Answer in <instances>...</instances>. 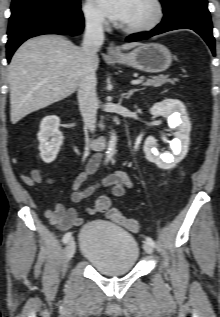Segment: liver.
<instances>
[{
  "mask_svg": "<svg viewBox=\"0 0 220 317\" xmlns=\"http://www.w3.org/2000/svg\"><path fill=\"white\" fill-rule=\"evenodd\" d=\"M122 45L123 50L139 46ZM84 65L82 47L57 35H42L23 43L8 67L11 122L67 98L78 88ZM99 65L96 54L95 66Z\"/></svg>",
  "mask_w": 220,
  "mask_h": 317,
  "instance_id": "6515ba94",
  "label": "liver"
}]
</instances>
